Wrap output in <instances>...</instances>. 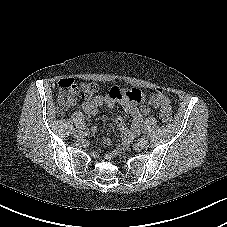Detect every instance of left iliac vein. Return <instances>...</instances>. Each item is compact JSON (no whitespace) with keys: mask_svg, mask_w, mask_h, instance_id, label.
I'll return each instance as SVG.
<instances>
[{"mask_svg":"<svg viewBox=\"0 0 227 227\" xmlns=\"http://www.w3.org/2000/svg\"><path fill=\"white\" fill-rule=\"evenodd\" d=\"M136 145L140 149H145V148H147L149 146V142H148L147 139L142 138V139L138 140Z\"/></svg>","mask_w":227,"mask_h":227,"instance_id":"4c4485c4","label":"left iliac vein"}]
</instances>
